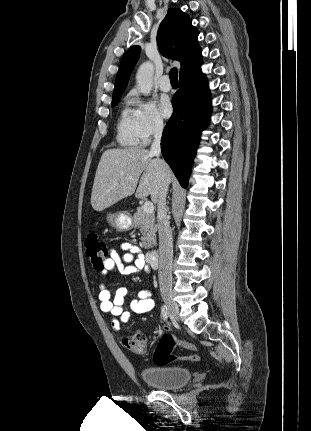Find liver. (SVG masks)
<instances>
[{"mask_svg": "<svg viewBox=\"0 0 311 431\" xmlns=\"http://www.w3.org/2000/svg\"><path fill=\"white\" fill-rule=\"evenodd\" d=\"M171 176L168 164L164 160H156L149 150H106L96 170L91 206L95 212H102L133 194L138 200H146L150 196L153 204H157L161 180L170 184Z\"/></svg>", "mask_w": 311, "mask_h": 431, "instance_id": "liver-1", "label": "liver"}]
</instances>
